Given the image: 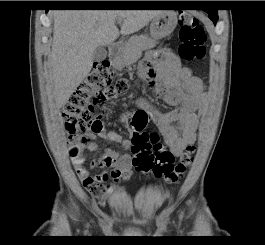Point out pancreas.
Returning <instances> with one entry per match:
<instances>
[{"mask_svg": "<svg viewBox=\"0 0 265 245\" xmlns=\"http://www.w3.org/2000/svg\"><path fill=\"white\" fill-rule=\"evenodd\" d=\"M156 40L147 35L134 36L128 40L122 53L113 61V66L117 70H122L125 66L135 63L141 56L143 50L154 47Z\"/></svg>", "mask_w": 265, "mask_h": 245, "instance_id": "obj_1", "label": "pancreas"}]
</instances>
